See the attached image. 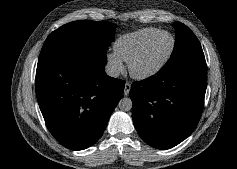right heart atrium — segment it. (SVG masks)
<instances>
[{
	"label": "right heart atrium",
	"mask_w": 237,
	"mask_h": 169,
	"mask_svg": "<svg viewBox=\"0 0 237 169\" xmlns=\"http://www.w3.org/2000/svg\"><path fill=\"white\" fill-rule=\"evenodd\" d=\"M106 58L108 67L112 73L117 74L124 70L123 60L115 52H109Z\"/></svg>",
	"instance_id": "right-heart-atrium-1"
}]
</instances>
